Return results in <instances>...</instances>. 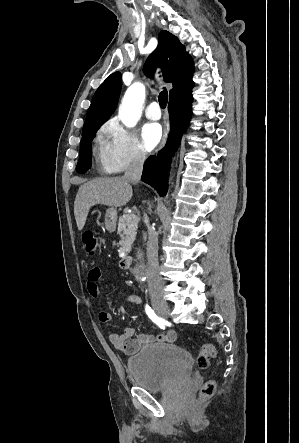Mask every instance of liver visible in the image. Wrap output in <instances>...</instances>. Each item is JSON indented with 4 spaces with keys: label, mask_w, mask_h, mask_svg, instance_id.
Returning <instances> with one entry per match:
<instances>
[{
    "label": "liver",
    "mask_w": 299,
    "mask_h": 443,
    "mask_svg": "<svg viewBox=\"0 0 299 443\" xmlns=\"http://www.w3.org/2000/svg\"><path fill=\"white\" fill-rule=\"evenodd\" d=\"M133 194L132 186L123 177L96 178L79 187L74 201V215L78 230L85 226L92 206L102 204L110 207L125 206Z\"/></svg>",
    "instance_id": "obj_1"
}]
</instances>
